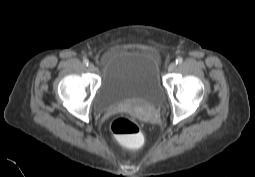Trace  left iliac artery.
Instances as JSON below:
<instances>
[{"instance_id": "obj_1", "label": "left iliac artery", "mask_w": 255, "mask_h": 177, "mask_svg": "<svg viewBox=\"0 0 255 177\" xmlns=\"http://www.w3.org/2000/svg\"><path fill=\"white\" fill-rule=\"evenodd\" d=\"M182 62H183V59L181 57H178L176 59V64L180 65V64H182Z\"/></svg>"}]
</instances>
